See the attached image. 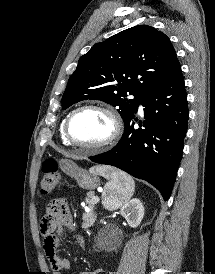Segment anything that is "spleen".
Masks as SVG:
<instances>
[{
  "mask_svg": "<svg viewBox=\"0 0 215 274\" xmlns=\"http://www.w3.org/2000/svg\"><path fill=\"white\" fill-rule=\"evenodd\" d=\"M90 172L97 173L109 179L104 186L102 204L106 209L114 210L126 204L132 197L135 189V182L131 176L123 171L109 166H96Z\"/></svg>",
  "mask_w": 215,
  "mask_h": 274,
  "instance_id": "1",
  "label": "spleen"
}]
</instances>
